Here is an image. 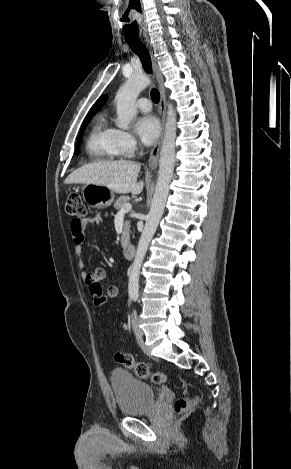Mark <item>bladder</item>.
<instances>
[{"mask_svg":"<svg viewBox=\"0 0 291 469\" xmlns=\"http://www.w3.org/2000/svg\"><path fill=\"white\" fill-rule=\"evenodd\" d=\"M110 381L118 411L134 417L152 410L156 401L155 389L123 369H114Z\"/></svg>","mask_w":291,"mask_h":469,"instance_id":"1","label":"bladder"}]
</instances>
